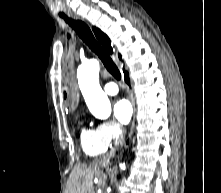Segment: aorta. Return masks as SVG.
I'll return each mask as SVG.
<instances>
[{
    "mask_svg": "<svg viewBox=\"0 0 221 193\" xmlns=\"http://www.w3.org/2000/svg\"><path fill=\"white\" fill-rule=\"evenodd\" d=\"M100 64L96 59L84 62L77 71L79 88L93 116L106 119L111 114V104L99 84ZM125 170V164H120Z\"/></svg>",
    "mask_w": 221,
    "mask_h": 193,
    "instance_id": "1",
    "label": "aorta"
}]
</instances>
